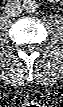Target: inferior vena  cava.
Segmentation results:
<instances>
[{
	"instance_id": "inferior-vena-cava-1",
	"label": "inferior vena cava",
	"mask_w": 63,
	"mask_h": 107,
	"mask_svg": "<svg viewBox=\"0 0 63 107\" xmlns=\"http://www.w3.org/2000/svg\"><path fill=\"white\" fill-rule=\"evenodd\" d=\"M22 11V5L18 0L9 1L5 6V12L10 16H17Z\"/></svg>"
}]
</instances>
